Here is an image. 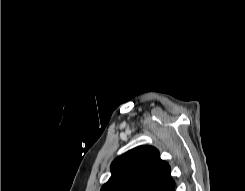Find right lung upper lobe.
<instances>
[{
  "mask_svg": "<svg viewBox=\"0 0 245 191\" xmlns=\"http://www.w3.org/2000/svg\"><path fill=\"white\" fill-rule=\"evenodd\" d=\"M112 176L100 191H174L170 166L152 146H139L116 158Z\"/></svg>",
  "mask_w": 245,
  "mask_h": 191,
  "instance_id": "cb5924a9",
  "label": "right lung upper lobe"
}]
</instances>
